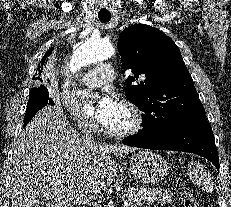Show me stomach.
<instances>
[{
    "label": "stomach",
    "instance_id": "0dacf381",
    "mask_svg": "<svg viewBox=\"0 0 231 207\" xmlns=\"http://www.w3.org/2000/svg\"><path fill=\"white\" fill-rule=\"evenodd\" d=\"M129 169L142 184H158L169 173L168 163L162 156L147 149L132 154Z\"/></svg>",
    "mask_w": 231,
    "mask_h": 207
}]
</instances>
